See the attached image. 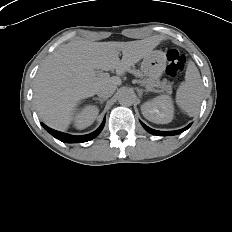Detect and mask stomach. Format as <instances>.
<instances>
[{
	"instance_id": "0dacf381",
	"label": "stomach",
	"mask_w": 232,
	"mask_h": 232,
	"mask_svg": "<svg viewBox=\"0 0 232 232\" xmlns=\"http://www.w3.org/2000/svg\"><path fill=\"white\" fill-rule=\"evenodd\" d=\"M166 67L165 54L160 51L149 52L142 62V72L144 76L162 72Z\"/></svg>"
}]
</instances>
